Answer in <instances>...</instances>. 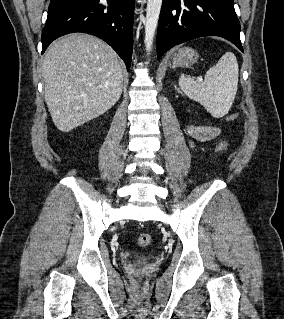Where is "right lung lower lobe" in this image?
I'll list each match as a JSON object with an SVG mask.
<instances>
[{
	"label": "right lung lower lobe",
	"instance_id": "right-lung-lower-lobe-1",
	"mask_svg": "<svg viewBox=\"0 0 284 319\" xmlns=\"http://www.w3.org/2000/svg\"><path fill=\"white\" fill-rule=\"evenodd\" d=\"M134 0H51L42 31V54L56 38L73 32L107 42L130 68Z\"/></svg>",
	"mask_w": 284,
	"mask_h": 319
}]
</instances>
